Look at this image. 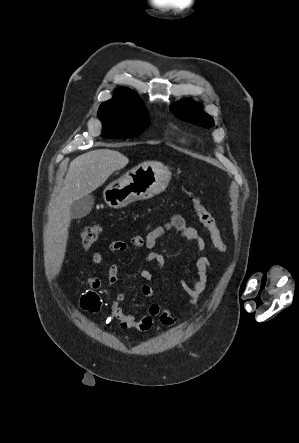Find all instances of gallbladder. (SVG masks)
Listing matches in <instances>:
<instances>
[{
    "label": "gallbladder",
    "instance_id": "1",
    "mask_svg": "<svg viewBox=\"0 0 299 443\" xmlns=\"http://www.w3.org/2000/svg\"><path fill=\"white\" fill-rule=\"evenodd\" d=\"M94 205V197L86 195L72 202L70 205V215L72 219H79L87 216Z\"/></svg>",
    "mask_w": 299,
    "mask_h": 443
}]
</instances>
